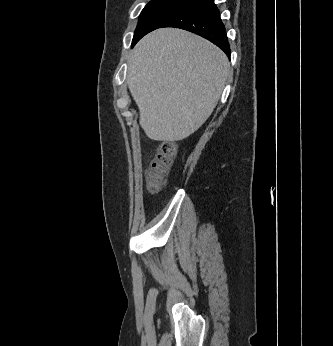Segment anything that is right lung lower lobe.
Wrapping results in <instances>:
<instances>
[{"mask_svg":"<svg viewBox=\"0 0 333 346\" xmlns=\"http://www.w3.org/2000/svg\"><path fill=\"white\" fill-rule=\"evenodd\" d=\"M162 27L181 28L200 35L217 45L230 57L225 26L214 0H187Z\"/></svg>","mask_w":333,"mask_h":346,"instance_id":"98d812e1","label":"right lung lower lobe"}]
</instances>
